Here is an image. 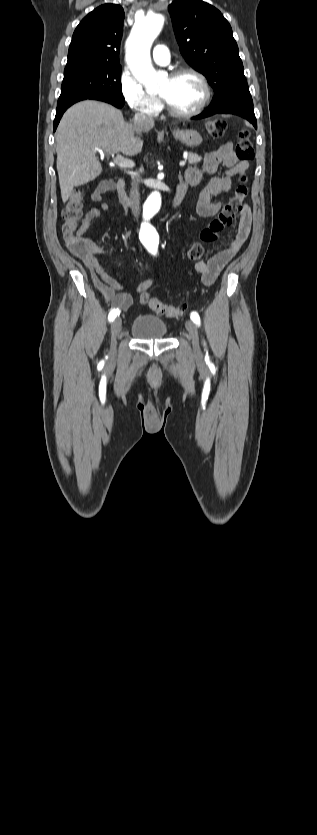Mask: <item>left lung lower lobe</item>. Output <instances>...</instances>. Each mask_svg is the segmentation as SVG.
I'll return each mask as SVG.
<instances>
[{"label":"left lung lower lobe","instance_id":"1","mask_svg":"<svg viewBox=\"0 0 317 835\" xmlns=\"http://www.w3.org/2000/svg\"><path fill=\"white\" fill-rule=\"evenodd\" d=\"M217 113L235 114L241 116L247 119L257 129V121L254 114L253 106L242 102H231L222 107L209 106V108L206 111L199 114L198 116L193 117V119H202Z\"/></svg>","mask_w":317,"mask_h":835}]
</instances>
